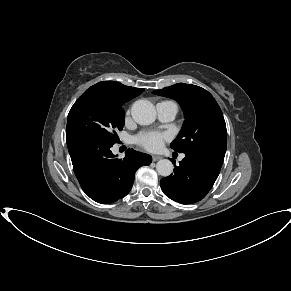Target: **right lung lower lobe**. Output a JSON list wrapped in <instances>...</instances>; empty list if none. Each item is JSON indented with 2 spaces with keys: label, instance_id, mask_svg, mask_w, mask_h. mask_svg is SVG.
I'll return each instance as SVG.
<instances>
[{
  "label": "right lung lower lobe",
  "instance_id": "1",
  "mask_svg": "<svg viewBox=\"0 0 291 291\" xmlns=\"http://www.w3.org/2000/svg\"><path fill=\"white\" fill-rule=\"evenodd\" d=\"M66 141L81 188L98 203H113L126 196L137 169L152 162L150 155L130 149L125 158L117 159L111 145L84 135H66Z\"/></svg>",
  "mask_w": 291,
  "mask_h": 291
}]
</instances>
